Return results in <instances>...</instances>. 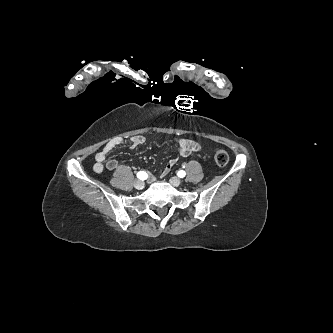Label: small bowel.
Returning a JSON list of instances; mask_svg holds the SVG:
<instances>
[{"instance_id": "c3829d8e", "label": "small bowel", "mask_w": 333, "mask_h": 333, "mask_svg": "<svg viewBox=\"0 0 333 333\" xmlns=\"http://www.w3.org/2000/svg\"><path fill=\"white\" fill-rule=\"evenodd\" d=\"M145 138L143 136H135L132 137L128 142L132 149H136L145 143ZM127 141L121 137H116L108 141L105 146L95 154V164L93 166L95 172L100 173L104 170V168L112 171L118 167V161L116 159H107V156L110 152H112L118 146L126 143ZM176 149L180 153L181 156H189L194 152H199L201 150V146L192 140L189 139H176L175 140ZM178 162V158L170 159L163 169L160 171V175H166L172 167H174ZM151 179L155 180V175L151 174Z\"/></svg>"}]
</instances>
